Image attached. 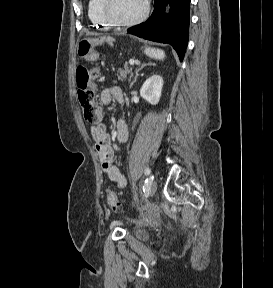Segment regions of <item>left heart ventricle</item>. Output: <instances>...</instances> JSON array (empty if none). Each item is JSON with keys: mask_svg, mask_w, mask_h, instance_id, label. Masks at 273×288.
Segmentation results:
<instances>
[{"mask_svg": "<svg viewBox=\"0 0 273 288\" xmlns=\"http://www.w3.org/2000/svg\"><path fill=\"white\" fill-rule=\"evenodd\" d=\"M144 10V0H111L110 14L117 20L128 21L138 17Z\"/></svg>", "mask_w": 273, "mask_h": 288, "instance_id": "left-heart-ventricle-1", "label": "left heart ventricle"}]
</instances>
